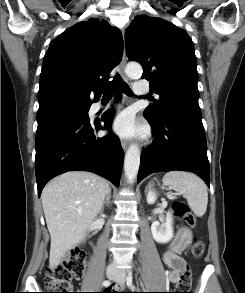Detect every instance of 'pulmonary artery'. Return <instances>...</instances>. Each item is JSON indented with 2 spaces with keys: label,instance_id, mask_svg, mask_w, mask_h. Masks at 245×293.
<instances>
[{
  "label": "pulmonary artery",
  "instance_id": "1",
  "mask_svg": "<svg viewBox=\"0 0 245 293\" xmlns=\"http://www.w3.org/2000/svg\"><path fill=\"white\" fill-rule=\"evenodd\" d=\"M134 91L138 95H142V96H144L148 93V90L146 89L145 84H143V83L136 84L134 87ZM108 107H109V105L97 104V109H107Z\"/></svg>",
  "mask_w": 245,
  "mask_h": 293
}]
</instances>
